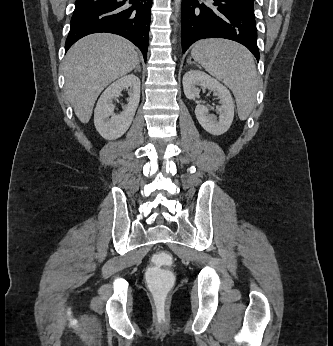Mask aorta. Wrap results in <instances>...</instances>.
Wrapping results in <instances>:
<instances>
[{"mask_svg": "<svg viewBox=\"0 0 333 346\" xmlns=\"http://www.w3.org/2000/svg\"><path fill=\"white\" fill-rule=\"evenodd\" d=\"M175 16L177 17L180 11L181 0H174Z\"/></svg>", "mask_w": 333, "mask_h": 346, "instance_id": "1", "label": "aorta"}]
</instances>
